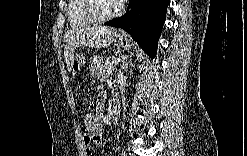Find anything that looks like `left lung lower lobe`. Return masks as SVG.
Masks as SVG:
<instances>
[{"label":"left lung lower lobe","mask_w":247,"mask_h":156,"mask_svg":"<svg viewBox=\"0 0 247 156\" xmlns=\"http://www.w3.org/2000/svg\"><path fill=\"white\" fill-rule=\"evenodd\" d=\"M169 0H130L128 11L105 25L124 29L154 58Z\"/></svg>","instance_id":"obj_1"}]
</instances>
